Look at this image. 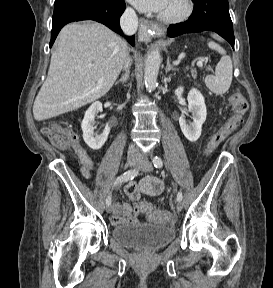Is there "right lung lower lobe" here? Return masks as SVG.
<instances>
[{"label": "right lung lower lobe", "mask_w": 273, "mask_h": 288, "mask_svg": "<svg viewBox=\"0 0 273 288\" xmlns=\"http://www.w3.org/2000/svg\"><path fill=\"white\" fill-rule=\"evenodd\" d=\"M126 8L124 0H55L50 47L61 28L74 21L95 20L122 34L120 17ZM134 46V36L126 37Z\"/></svg>", "instance_id": "1"}]
</instances>
